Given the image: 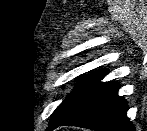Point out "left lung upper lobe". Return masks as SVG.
<instances>
[{"label":"left lung upper lobe","mask_w":147,"mask_h":131,"mask_svg":"<svg viewBox=\"0 0 147 131\" xmlns=\"http://www.w3.org/2000/svg\"><path fill=\"white\" fill-rule=\"evenodd\" d=\"M105 75V70H98L84 79H81L71 94L57 107L51 116L47 129L62 123L76 113L82 105L104 84L100 80Z\"/></svg>","instance_id":"1"}]
</instances>
